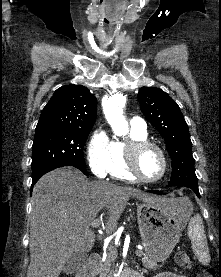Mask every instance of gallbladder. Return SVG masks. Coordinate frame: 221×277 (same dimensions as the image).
<instances>
[{
  "instance_id": "bac80fb5",
  "label": "gallbladder",
  "mask_w": 221,
  "mask_h": 277,
  "mask_svg": "<svg viewBox=\"0 0 221 277\" xmlns=\"http://www.w3.org/2000/svg\"><path fill=\"white\" fill-rule=\"evenodd\" d=\"M87 262V255L84 253H73L70 259L65 263L63 272L65 274L77 273Z\"/></svg>"
}]
</instances>
